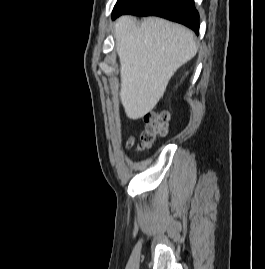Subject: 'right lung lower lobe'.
I'll list each match as a JSON object with an SVG mask.
<instances>
[{"label": "right lung lower lobe", "instance_id": "1", "mask_svg": "<svg viewBox=\"0 0 265 269\" xmlns=\"http://www.w3.org/2000/svg\"><path fill=\"white\" fill-rule=\"evenodd\" d=\"M122 14L160 16L181 23L197 34L199 30V15L194 0H118L112 18Z\"/></svg>", "mask_w": 265, "mask_h": 269}]
</instances>
